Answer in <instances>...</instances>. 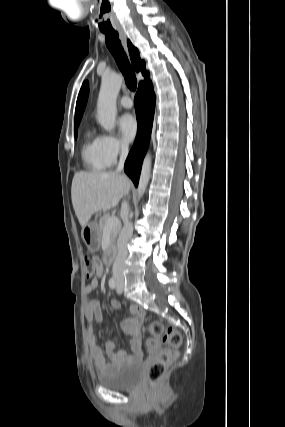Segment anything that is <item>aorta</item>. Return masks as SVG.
I'll return each instance as SVG.
<instances>
[{"label":"aorta","mask_w":285,"mask_h":427,"mask_svg":"<svg viewBox=\"0 0 285 427\" xmlns=\"http://www.w3.org/2000/svg\"><path fill=\"white\" fill-rule=\"evenodd\" d=\"M123 83L121 75H105L101 81L100 92L97 101V119L100 125L107 131L115 127V118L117 113L116 100ZM152 158L147 153L139 180L138 197L141 198L146 191L150 173Z\"/></svg>","instance_id":"762f6f07"}]
</instances>
